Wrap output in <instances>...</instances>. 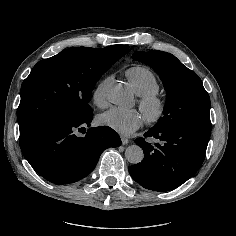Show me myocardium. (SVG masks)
Returning <instances> with one entry per match:
<instances>
[{"instance_id":"1","label":"myocardium","mask_w":236,"mask_h":236,"mask_svg":"<svg viewBox=\"0 0 236 236\" xmlns=\"http://www.w3.org/2000/svg\"><path fill=\"white\" fill-rule=\"evenodd\" d=\"M139 107L151 125L160 122L167 112L166 100L158 94L141 97Z\"/></svg>"}]
</instances>
